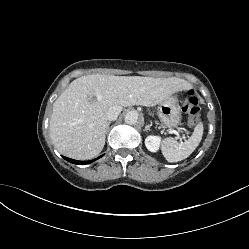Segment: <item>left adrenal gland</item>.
I'll return each mask as SVG.
<instances>
[{
	"label": "left adrenal gland",
	"instance_id": "obj_1",
	"mask_svg": "<svg viewBox=\"0 0 249 249\" xmlns=\"http://www.w3.org/2000/svg\"><path fill=\"white\" fill-rule=\"evenodd\" d=\"M150 128H151V124L150 125H146L145 126V131L150 130Z\"/></svg>",
	"mask_w": 249,
	"mask_h": 249
}]
</instances>
